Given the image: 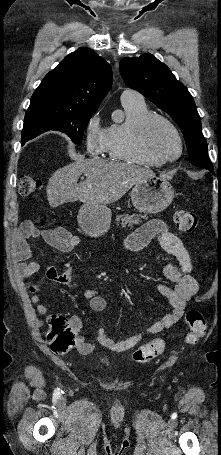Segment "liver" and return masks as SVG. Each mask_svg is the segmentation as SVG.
<instances>
[{
    "label": "liver",
    "instance_id": "6515ba94",
    "mask_svg": "<svg viewBox=\"0 0 221 455\" xmlns=\"http://www.w3.org/2000/svg\"><path fill=\"white\" fill-rule=\"evenodd\" d=\"M84 174L86 180L77 183ZM155 173L123 162L90 159L76 161L56 170L47 185V200L55 208L67 202L109 204L116 202L137 182Z\"/></svg>",
    "mask_w": 221,
    "mask_h": 455
}]
</instances>
